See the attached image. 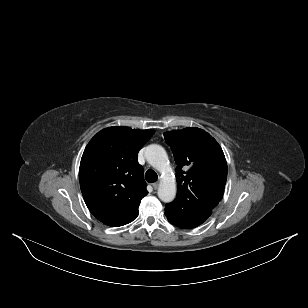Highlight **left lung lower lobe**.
<instances>
[{"mask_svg":"<svg viewBox=\"0 0 308 308\" xmlns=\"http://www.w3.org/2000/svg\"><path fill=\"white\" fill-rule=\"evenodd\" d=\"M212 210L187 219H175L167 216L168 221L182 229H191L202 224L211 215Z\"/></svg>","mask_w":308,"mask_h":308,"instance_id":"1","label":"left lung lower lobe"}]
</instances>
